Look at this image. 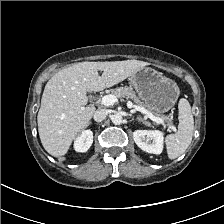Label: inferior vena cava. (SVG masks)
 Masks as SVG:
<instances>
[{"instance_id": "602c4592", "label": "inferior vena cava", "mask_w": 224, "mask_h": 224, "mask_svg": "<svg viewBox=\"0 0 224 224\" xmlns=\"http://www.w3.org/2000/svg\"><path fill=\"white\" fill-rule=\"evenodd\" d=\"M108 115V110L106 109H97L93 115V119L96 122H101L103 121Z\"/></svg>"}]
</instances>
